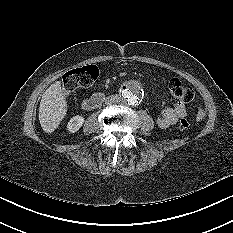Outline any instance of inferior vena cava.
I'll return each instance as SVG.
<instances>
[{"label":"inferior vena cava","instance_id":"obj_1","mask_svg":"<svg viewBox=\"0 0 233 233\" xmlns=\"http://www.w3.org/2000/svg\"><path fill=\"white\" fill-rule=\"evenodd\" d=\"M119 102H120V97L117 94L110 95L105 100L106 105H115V104H118Z\"/></svg>","mask_w":233,"mask_h":233}]
</instances>
